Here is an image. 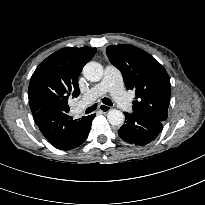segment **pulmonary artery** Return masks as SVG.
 Masks as SVG:
<instances>
[{"label": "pulmonary artery", "instance_id": "1", "mask_svg": "<svg viewBox=\"0 0 205 205\" xmlns=\"http://www.w3.org/2000/svg\"><path fill=\"white\" fill-rule=\"evenodd\" d=\"M106 92H110L119 108L123 111H131V102L123 87L121 73L113 66L105 68L101 82L93 86L83 97L86 103L92 102Z\"/></svg>", "mask_w": 205, "mask_h": 205}]
</instances>
